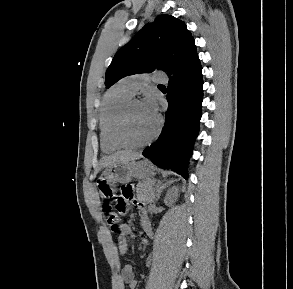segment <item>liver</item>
Instances as JSON below:
<instances>
[{"label":"liver","mask_w":293,"mask_h":289,"mask_svg":"<svg viewBox=\"0 0 293 289\" xmlns=\"http://www.w3.org/2000/svg\"><path fill=\"white\" fill-rule=\"evenodd\" d=\"M141 158V154L132 151H118L102 159V167H109L119 162H132Z\"/></svg>","instance_id":"liver-1"}]
</instances>
